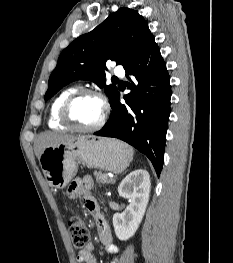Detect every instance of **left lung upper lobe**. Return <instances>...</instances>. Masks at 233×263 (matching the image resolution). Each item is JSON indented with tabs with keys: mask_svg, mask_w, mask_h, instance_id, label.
I'll list each match as a JSON object with an SVG mask.
<instances>
[{
	"mask_svg": "<svg viewBox=\"0 0 233 263\" xmlns=\"http://www.w3.org/2000/svg\"><path fill=\"white\" fill-rule=\"evenodd\" d=\"M153 39L147 22L137 11L119 9L63 50L49 78L44 99L51 98L74 80L86 79L97 83L99 87H105L112 104L119 92L113 85L106 86V61H115L125 68Z\"/></svg>",
	"mask_w": 233,
	"mask_h": 263,
	"instance_id": "left-lung-upper-lobe-1",
	"label": "left lung upper lobe"
}]
</instances>
